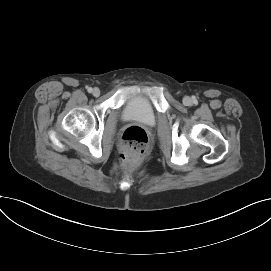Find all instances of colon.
Listing matches in <instances>:
<instances>
[{
    "instance_id": "colon-1",
    "label": "colon",
    "mask_w": 271,
    "mask_h": 271,
    "mask_svg": "<svg viewBox=\"0 0 271 271\" xmlns=\"http://www.w3.org/2000/svg\"><path fill=\"white\" fill-rule=\"evenodd\" d=\"M149 138L147 132L139 126L127 128L122 135L120 161L123 166L132 168L145 155Z\"/></svg>"
}]
</instances>
